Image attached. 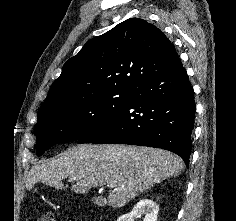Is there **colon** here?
<instances>
[{"mask_svg":"<svg viewBox=\"0 0 236 221\" xmlns=\"http://www.w3.org/2000/svg\"><path fill=\"white\" fill-rule=\"evenodd\" d=\"M33 221H56V218L53 213L47 212L44 215H42L40 218L34 219ZM68 221H77V220L72 218V219H69Z\"/></svg>","mask_w":236,"mask_h":221,"instance_id":"1","label":"colon"}]
</instances>
